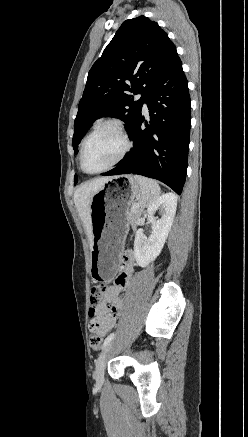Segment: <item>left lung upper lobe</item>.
Returning <instances> with one entry per match:
<instances>
[{"mask_svg":"<svg viewBox=\"0 0 248 437\" xmlns=\"http://www.w3.org/2000/svg\"><path fill=\"white\" fill-rule=\"evenodd\" d=\"M177 57L175 45L156 22L145 16L124 21L89 71L74 123V153L98 118L121 119L129 134L148 91ZM131 93L142 96L134 101Z\"/></svg>","mask_w":248,"mask_h":437,"instance_id":"left-lung-upper-lobe-1","label":"left lung upper lobe"}]
</instances>
